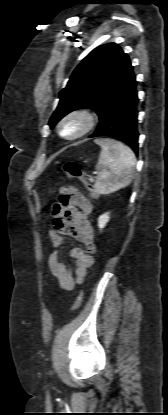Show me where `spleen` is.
Listing matches in <instances>:
<instances>
[{"label":"spleen","mask_w":168,"mask_h":415,"mask_svg":"<svg viewBox=\"0 0 168 415\" xmlns=\"http://www.w3.org/2000/svg\"><path fill=\"white\" fill-rule=\"evenodd\" d=\"M95 143L101 147L96 165V191L105 195L127 187L135 171L136 158L133 151L113 139H96Z\"/></svg>","instance_id":"obj_1"}]
</instances>
